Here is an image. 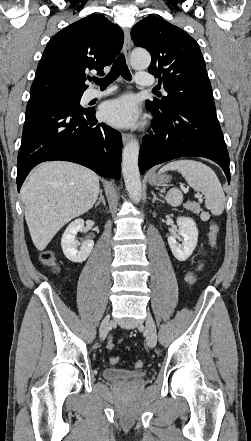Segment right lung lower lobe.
<instances>
[{
  "label": "right lung lower lobe",
  "mask_w": 251,
  "mask_h": 441,
  "mask_svg": "<svg viewBox=\"0 0 251 441\" xmlns=\"http://www.w3.org/2000/svg\"><path fill=\"white\" fill-rule=\"evenodd\" d=\"M121 149L120 133L98 123L95 110L29 100L17 159V189L33 167L52 160L71 161L119 179Z\"/></svg>",
  "instance_id": "right-lung-lower-lobe-1"
}]
</instances>
